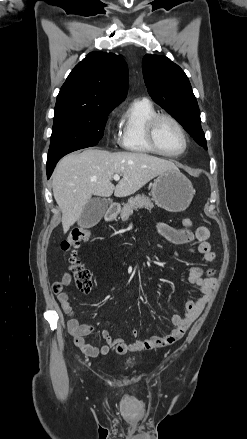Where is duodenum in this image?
<instances>
[{
  "label": "duodenum",
  "instance_id": "obj_1",
  "mask_svg": "<svg viewBox=\"0 0 247 439\" xmlns=\"http://www.w3.org/2000/svg\"><path fill=\"white\" fill-rule=\"evenodd\" d=\"M118 212H119L118 204L116 203L110 204L105 213V220H112L117 216Z\"/></svg>",
  "mask_w": 247,
  "mask_h": 439
}]
</instances>
